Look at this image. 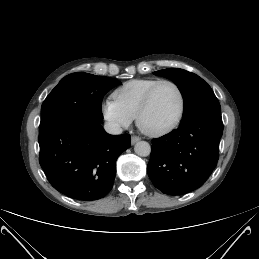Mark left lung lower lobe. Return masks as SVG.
<instances>
[{
	"label": "left lung lower lobe",
	"mask_w": 259,
	"mask_h": 259,
	"mask_svg": "<svg viewBox=\"0 0 259 259\" xmlns=\"http://www.w3.org/2000/svg\"><path fill=\"white\" fill-rule=\"evenodd\" d=\"M222 133L221 117L204 116L153 139L147 172L154 186L171 196L201 187L217 165Z\"/></svg>",
	"instance_id": "0a47b994"
}]
</instances>
